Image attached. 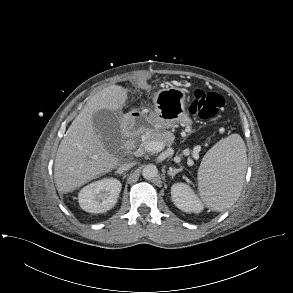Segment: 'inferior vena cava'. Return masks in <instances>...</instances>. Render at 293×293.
<instances>
[{
	"label": "inferior vena cava",
	"mask_w": 293,
	"mask_h": 293,
	"mask_svg": "<svg viewBox=\"0 0 293 293\" xmlns=\"http://www.w3.org/2000/svg\"><path fill=\"white\" fill-rule=\"evenodd\" d=\"M134 165H135V163H133V162L124 163L118 168V171L119 172L127 171V170L131 169Z\"/></svg>",
	"instance_id": "obj_1"
}]
</instances>
